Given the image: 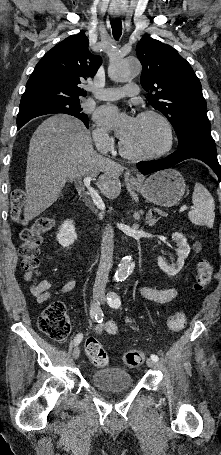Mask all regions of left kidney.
Wrapping results in <instances>:
<instances>
[{"instance_id":"obj_1","label":"left kidney","mask_w":221,"mask_h":455,"mask_svg":"<svg viewBox=\"0 0 221 455\" xmlns=\"http://www.w3.org/2000/svg\"><path fill=\"white\" fill-rule=\"evenodd\" d=\"M172 240L177 244V261L173 264H168L164 258L161 256L158 257V266L161 270H163L166 274L170 276H174L180 272L184 265V260L188 257L190 253V246L187 243L186 238L183 236L182 233L175 232L172 234Z\"/></svg>"}]
</instances>
